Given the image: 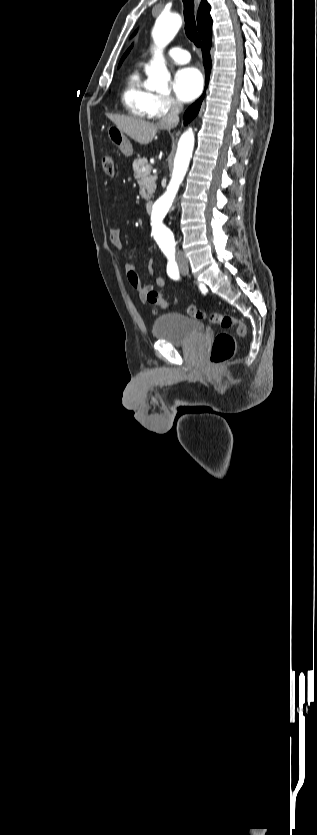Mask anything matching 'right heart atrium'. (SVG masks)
Here are the masks:
<instances>
[{
    "label": "right heart atrium",
    "instance_id": "1",
    "mask_svg": "<svg viewBox=\"0 0 317 835\" xmlns=\"http://www.w3.org/2000/svg\"><path fill=\"white\" fill-rule=\"evenodd\" d=\"M181 104L170 95L155 94L149 109V116L154 119L166 117L178 112Z\"/></svg>",
    "mask_w": 317,
    "mask_h": 835
}]
</instances>
